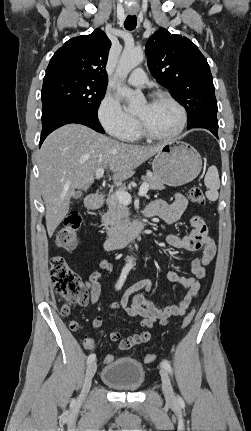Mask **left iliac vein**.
Segmentation results:
<instances>
[{"mask_svg":"<svg viewBox=\"0 0 251 431\" xmlns=\"http://www.w3.org/2000/svg\"><path fill=\"white\" fill-rule=\"evenodd\" d=\"M162 390L167 401L172 402L175 400L173 388L170 382L169 375L167 371L163 368L160 369Z\"/></svg>","mask_w":251,"mask_h":431,"instance_id":"1","label":"left iliac vein"}]
</instances>
